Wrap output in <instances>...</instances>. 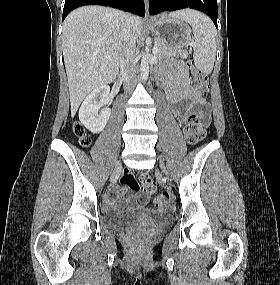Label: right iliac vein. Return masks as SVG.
Instances as JSON below:
<instances>
[{
  "instance_id": "63e3f726",
  "label": "right iliac vein",
  "mask_w": 280,
  "mask_h": 285,
  "mask_svg": "<svg viewBox=\"0 0 280 285\" xmlns=\"http://www.w3.org/2000/svg\"><path fill=\"white\" fill-rule=\"evenodd\" d=\"M120 167H121V166H120V165H118V166H117V169H119Z\"/></svg>"
}]
</instances>
